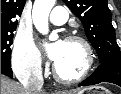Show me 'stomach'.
<instances>
[{
  "label": "stomach",
  "instance_id": "obj_1",
  "mask_svg": "<svg viewBox=\"0 0 121 94\" xmlns=\"http://www.w3.org/2000/svg\"><path fill=\"white\" fill-rule=\"evenodd\" d=\"M77 94H111L109 90L101 86L90 87L88 89L82 90Z\"/></svg>",
  "mask_w": 121,
  "mask_h": 94
}]
</instances>
